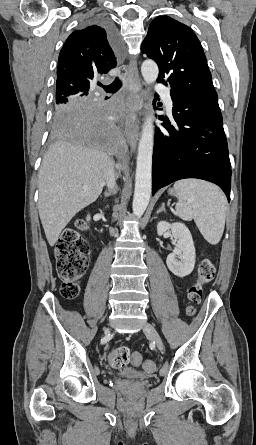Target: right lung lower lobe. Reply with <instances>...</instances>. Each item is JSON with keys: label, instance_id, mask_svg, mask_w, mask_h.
I'll list each match as a JSON object with an SVG mask.
<instances>
[{"label": "right lung lower lobe", "instance_id": "1", "mask_svg": "<svg viewBox=\"0 0 256 445\" xmlns=\"http://www.w3.org/2000/svg\"><path fill=\"white\" fill-rule=\"evenodd\" d=\"M116 46L115 32L107 23H100ZM114 102L87 98L77 101L55 119L56 126L67 133L68 139L90 144L102 152L121 157L127 147L117 125L111 119Z\"/></svg>", "mask_w": 256, "mask_h": 445}]
</instances>
